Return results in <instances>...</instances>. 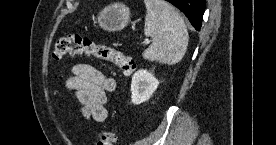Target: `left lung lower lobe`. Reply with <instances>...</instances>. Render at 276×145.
Masks as SVG:
<instances>
[{"mask_svg":"<svg viewBox=\"0 0 276 145\" xmlns=\"http://www.w3.org/2000/svg\"><path fill=\"white\" fill-rule=\"evenodd\" d=\"M179 8L196 30H200L205 10V0H167Z\"/></svg>","mask_w":276,"mask_h":145,"instance_id":"left-lung-lower-lobe-1","label":"left lung lower lobe"}]
</instances>
